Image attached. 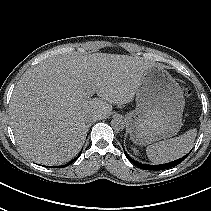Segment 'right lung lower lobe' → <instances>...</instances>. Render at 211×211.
<instances>
[{
    "label": "right lung lower lobe",
    "mask_w": 211,
    "mask_h": 211,
    "mask_svg": "<svg viewBox=\"0 0 211 211\" xmlns=\"http://www.w3.org/2000/svg\"><path fill=\"white\" fill-rule=\"evenodd\" d=\"M81 155V152L78 154V156L76 158H74L72 161H70L68 164H66L65 166L69 165L70 163L74 162L75 160H77L79 158V156Z\"/></svg>",
    "instance_id": "1"
}]
</instances>
